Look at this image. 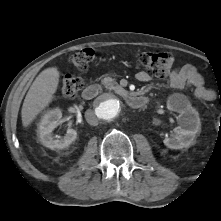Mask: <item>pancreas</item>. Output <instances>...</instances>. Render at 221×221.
I'll return each mask as SVG.
<instances>
[{
    "mask_svg": "<svg viewBox=\"0 0 221 221\" xmlns=\"http://www.w3.org/2000/svg\"><path fill=\"white\" fill-rule=\"evenodd\" d=\"M102 83L105 85L106 88L108 89H121V86H119L117 84L116 81H114L112 78L110 77H105L103 80H102Z\"/></svg>",
    "mask_w": 221,
    "mask_h": 221,
    "instance_id": "obj_1",
    "label": "pancreas"
}]
</instances>
